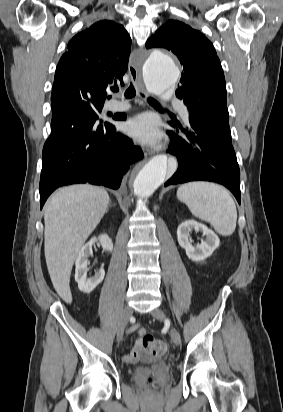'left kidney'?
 Instances as JSON below:
<instances>
[{
    "instance_id": "1",
    "label": "left kidney",
    "mask_w": 283,
    "mask_h": 412,
    "mask_svg": "<svg viewBox=\"0 0 283 412\" xmlns=\"http://www.w3.org/2000/svg\"><path fill=\"white\" fill-rule=\"evenodd\" d=\"M192 230L196 232L202 231L203 235L206 236V241L193 246L189 238ZM177 237L178 243L185 249L187 257L194 262L203 261L211 256L220 244L218 236L212 230L194 220H187L181 223L177 229Z\"/></svg>"
}]
</instances>
